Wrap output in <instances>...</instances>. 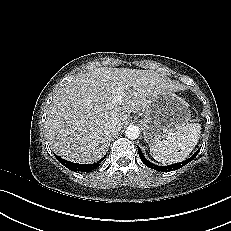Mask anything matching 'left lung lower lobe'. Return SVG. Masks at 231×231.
Wrapping results in <instances>:
<instances>
[{
	"label": "left lung lower lobe",
	"mask_w": 231,
	"mask_h": 231,
	"mask_svg": "<svg viewBox=\"0 0 231 231\" xmlns=\"http://www.w3.org/2000/svg\"><path fill=\"white\" fill-rule=\"evenodd\" d=\"M200 151V149L190 158H188L187 160L185 161H182L180 163H176V164H172V165H168V166H158V165H155L151 162H149L143 155L141 149L138 147V152H139V157L141 159V161L146 165L148 166L149 168H152V169H155L157 171H173V170H177L183 166H185L186 164H188L189 162H191L198 154V152Z\"/></svg>",
	"instance_id": "1"
}]
</instances>
